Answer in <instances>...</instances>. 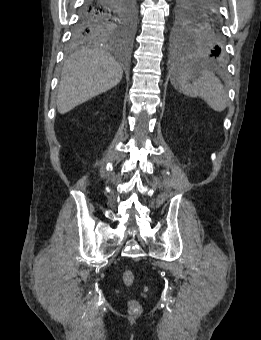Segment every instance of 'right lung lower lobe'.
<instances>
[{
  "label": "right lung lower lobe",
  "instance_id": "obj_1",
  "mask_svg": "<svg viewBox=\"0 0 261 340\" xmlns=\"http://www.w3.org/2000/svg\"><path fill=\"white\" fill-rule=\"evenodd\" d=\"M125 2L126 0H85L77 24L85 25L102 15L116 14L119 8L125 7Z\"/></svg>",
  "mask_w": 261,
  "mask_h": 340
}]
</instances>
